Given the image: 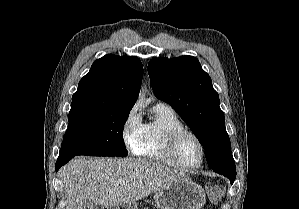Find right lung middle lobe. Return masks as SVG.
<instances>
[{
	"mask_svg": "<svg viewBox=\"0 0 299 209\" xmlns=\"http://www.w3.org/2000/svg\"><path fill=\"white\" fill-rule=\"evenodd\" d=\"M130 110L71 107L59 155L126 156L123 128Z\"/></svg>",
	"mask_w": 299,
	"mask_h": 209,
	"instance_id": "obj_1",
	"label": "right lung middle lobe"
}]
</instances>
